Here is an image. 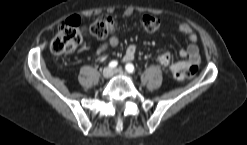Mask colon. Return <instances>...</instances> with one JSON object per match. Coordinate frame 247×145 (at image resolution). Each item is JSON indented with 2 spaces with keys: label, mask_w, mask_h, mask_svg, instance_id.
Returning a JSON list of instances; mask_svg holds the SVG:
<instances>
[{
  "label": "colon",
  "mask_w": 247,
  "mask_h": 145,
  "mask_svg": "<svg viewBox=\"0 0 247 145\" xmlns=\"http://www.w3.org/2000/svg\"><path fill=\"white\" fill-rule=\"evenodd\" d=\"M141 25L147 32H156L161 28L160 21L152 15H144L141 19ZM117 27L118 19L114 16L98 17L85 28L81 27L78 17H72L59 26L55 37L51 41L50 51L57 56L71 54L80 45L84 31L96 38H105L109 34L116 32ZM160 62L168 65L170 59L167 55H163L160 58ZM196 73V68H190L187 71L177 70L174 75L179 79H183L192 78Z\"/></svg>",
  "instance_id": "colon-1"
}]
</instances>
